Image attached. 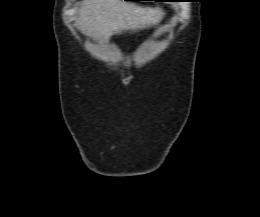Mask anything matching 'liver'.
Listing matches in <instances>:
<instances>
[{"instance_id": "obj_1", "label": "liver", "mask_w": 260, "mask_h": 217, "mask_svg": "<svg viewBox=\"0 0 260 217\" xmlns=\"http://www.w3.org/2000/svg\"><path fill=\"white\" fill-rule=\"evenodd\" d=\"M162 15L158 8L140 7L121 0H85L76 25L88 36L108 39L123 31L155 25Z\"/></svg>"}]
</instances>
